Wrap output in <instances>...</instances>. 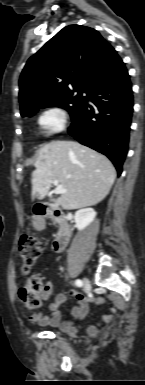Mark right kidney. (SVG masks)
Returning a JSON list of instances; mask_svg holds the SVG:
<instances>
[{
  "mask_svg": "<svg viewBox=\"0 0 145 385\" xmlns=\"http://www.w3.org/2000/svg\"><path fill=\"white\" fill-rule=\"evenodd\" d=\"M96 214V211L92 208H85L77 211L74 216L77 229L79 231L85 229L91 222H93Z\"/></svg>",
  "mask_w": 145,
  "mask_h": 385,
  "instance_id": "obj_1",
  "label": "right kidney"
}]
</instances>
